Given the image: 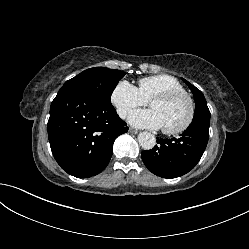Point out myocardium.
<instances>
[{
	"instance_id": "1",
	"label": "myocardium",
	"mask_w": 249,
	"mask_h": 249,
	"mask_svg": "<svg viewBox=\"0 0 249 249\" xmlns=\"http://www.w3.org/2000/svg\"><path fill=\"white\" fill-rule=\"evenodd\" d=\"M179 98H184L187 101L188 108H189L188 116L186 120L184 121V123L177 128H174V129L162 128L163 133L167 135L181 134L185 132L191 126L194 120V117H195V103H194L193 98L186 91H170V92L158 94L149 101V105H150L152 102H170V101H173Z\"/></svg>"
}]
</instances>
